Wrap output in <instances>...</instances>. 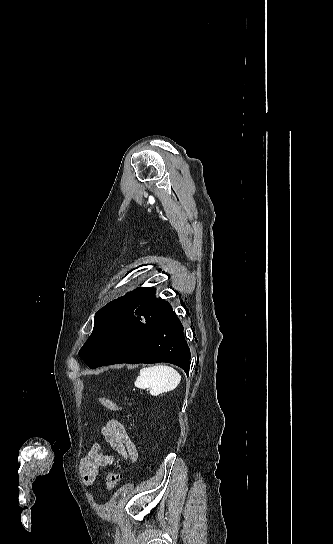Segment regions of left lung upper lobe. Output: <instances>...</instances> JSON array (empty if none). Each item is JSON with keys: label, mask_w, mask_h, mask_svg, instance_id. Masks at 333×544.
<instances>
[{"label": "left lung upper lobe", "mask_w": 333, "mask_h": 544, "mask_svg": "<svg viewBox=\"0 0 333 544\" xmlns=\"http://www.w3.org/2000/svg\"><path fill=\"white\" fill-rule=\"evenodd\" d=\"M155 293L153 287L136 288L125 296L111 301L95 314L93 333L79 352L80 357L90 368L96 367L103 360L96 335L106 320L125 318L135 324L150 325L172 309L167 301L156 298Z\"/></svg>", "instance_id": "1"}]
</instances>
